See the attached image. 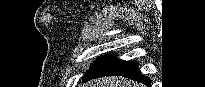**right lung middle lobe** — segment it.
I'll list each match as a JSON object with an SVG mask.
<instances>
[{
    "instance_id": "obj_1",
    "label": "right lung middle lobe",
    "mask_w": 205,
    "mask_h": 87,
    "mask_svg": "<svg viewBox=\"0 0 205 87\" xmlns=\"http://www.w3.org/2000/svg\"><path fill=\"white\" fill-rule=\"evenodd\" d=\"M107 55H109V54H106V55H104V56L98 58V59L93 63V65H92V67H91L90 69H92L96 64H98V63H99L102 59H104Z\"/></svg>"
}]
</instances>
